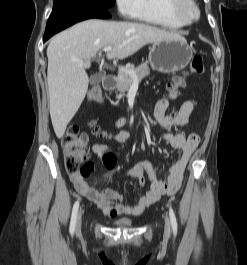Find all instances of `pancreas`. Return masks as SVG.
I'll return each instance as SVG.
<instances>
[{"instance_id":"obj_1","label":"pancreas","mask_w":247,"mask_h":265,"mask_svg":"<svg viewBox=\"0 0 247 265\" xmlns=\"http://www.w3.org/2000/svg\"><path fill=\"white\" fill-rule=\"evenodd\" d=\"M127 70H131L135 73L136 78H133L130 74L125 73L124 71H119L117 76V90L124 94L134 83L135 80L141 81L144 77L150 74V69L147 63H142L138 67L134 68L131 66Z\"/></svg>"}]
</instances>
